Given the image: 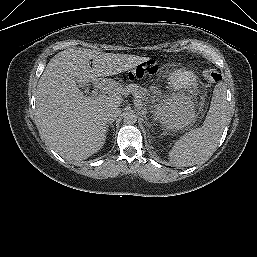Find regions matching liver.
Listing matches in <instances>:
<instances>
[{
    "mask_svg": "<svg viewBox=\"0 0 257 257\" xmlns=\"http://www.w3.org/2000/svg\"><path fill=\"white\" fill-rule=\"evenodd\" d=\"M92 60V67L90 61ZM145 58L68 48L56 54L41 75L36 92V112L42 137L66 160L81 161L104 145L108 121L104 112L119 107L122 98L111 91L101 100L86 97L78 83H96L99 77L126 72ZM109 88L116 82L104 80Z\"/></svg>",
    "mask_w": 257,
    "mask_h": 257,
    "instance_id": "obj_1",
    "label": "liver"
}]
</instances>
